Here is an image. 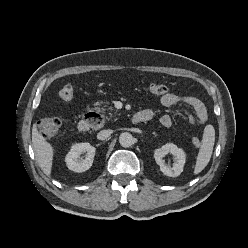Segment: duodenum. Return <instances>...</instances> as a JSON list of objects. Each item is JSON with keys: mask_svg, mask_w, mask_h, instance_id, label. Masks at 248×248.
I'll use <instances>...</instances> for the list:
<instances>
[{"mask_svg": "<svg viewBox=\"0 0 248 248\" xmlns=\"http://www.w3.org/2000/svg\"><path fill=\"white\" fill-rule=\"evenodd\" d=\"M150 117L143 114V113H135L131 117V121L134 124L143 123L146 121H149ZM101 123V117L98 113L90 112L86 113L78 122V129L81 132H88L92 130L93 128H96Z\"/></svg>", "mask_w": 248, "mask_h": 248, "instance_id": "obj_1", "label": "duodenum"}]
</instances>
